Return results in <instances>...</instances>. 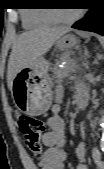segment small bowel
Masks as SVG:
<instances>
[{
	"instance_id": "1",
	"label": "small bowel",
	"mask_w": 104,
	"mask_h": 169,
	"mask_svg": "<svg viewBox=\"0 0 104 169\" xmlns=\"http://www.w3.org/2000/svg\"><path fill=\"white\" fill-rule=\"evenodd\" d=\"M61 91H58L60 97ZM78 96H86V91L79 87L76 90ZM61 107L56 104L51 109V115L47 120L48 131L43 135V144L47 147L44 158L39 162L40 169H64V162L67 159V152L64 149L65 144V122L60 115ZM79 163L76 169H88L85 163L86 144L80 142L75 150Z\"/></svg>"
}]
</instances>
